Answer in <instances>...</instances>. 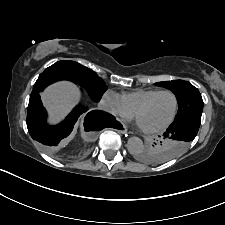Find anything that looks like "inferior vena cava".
<instances>
[{
    "label": "inferior vena cava",
    "mask_w": 225,
    "mask_h": 225,
    "mask_svg": "<svg viewBox=\"0 0 225 225\" xmlns=\"http://www.w3.org/2000/svg\"><path fill=\"white\" fill-rule=\"evenodd\" d=\"M98 107L101 109V110H104V111H108V112H111L112 109L110 107V105L104 101H101L98 105Z\"/></svg>",
    "instance_id": "obj_1"
}]
</instances>
